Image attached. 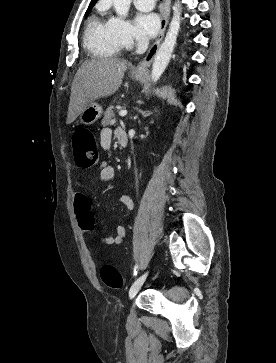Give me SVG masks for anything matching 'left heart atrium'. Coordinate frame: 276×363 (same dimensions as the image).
<instances>
[{
  "label": "left heart atrium",
  "mask_w": 276,
  "mask_h": 363,
  "mask_svg": "<svg viewBox=\"0 0 276 363\" xmlns=\"http://www.w3.org/2000/svg\"><path fill=\"white\" fill-rule=\"evenodd\" d=\"M160 26V18L155 13L140 12L136 16V27L143 38L154 37L158 33Z\"/></svg>",
  "instance_id": "obj_1"
}]
</instances>
